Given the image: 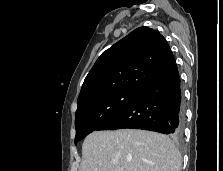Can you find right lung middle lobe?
<instances>
[{
    "label": "right lung middle lobe",
    "mask_w": 223,
    "mask_h": 171,
    "mask_svg": "<svg viewBox=\"0 0 223 171\" xmlns=\"http://www.w3.org/2000/svg\"><path fill=\"white\" fill-rule=\"evenodd\" d=\"M137 93L131 91L114 92L77 108L75 144L116 116L136 97Z\"/></svg>",
    "instance_id": "obj_1"
}]
</instances>
